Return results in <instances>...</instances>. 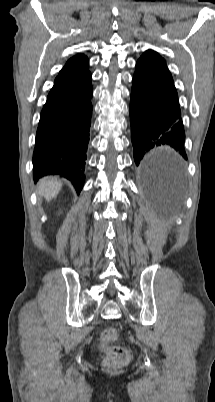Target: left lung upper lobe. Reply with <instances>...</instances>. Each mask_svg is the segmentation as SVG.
<instances>
[{"label":"left lung upper lobe","mask_w":215,"mask_h":402,"mask_svg":"<svg viewBox=\"0 0 215 402\" xmlns=\"http://www.w3.org/2000/svg\"><path fill=\"white\" fill-rule=\"evenodd\" d=\"M141 57H146V58H150V59H154L157 60L159 62L165 63L166 61L156 52L153 50H147L145 51Z\"/></svg>","instance_id":"1"}]
</instances>
